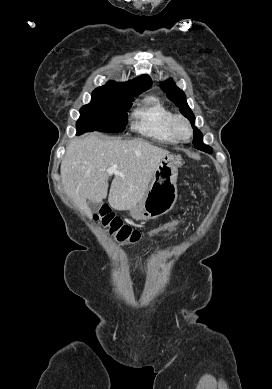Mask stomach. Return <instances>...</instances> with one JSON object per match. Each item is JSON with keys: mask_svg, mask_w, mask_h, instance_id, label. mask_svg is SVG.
<instances>
[{"mask_svg": "<svg viewBox=\"0 0 272 389\" xmlns=\"http://www.w3.org/2000/svg\"><path fill=\"white\" fill-rule=\"evenodd\" d=\"M183 164L179 155H167L156 167L149 188L130 215L136 220L155 219L169 212L177 200L178 168Z\"/></svg>", "mask_w": 272, "mask_h": 389, "instance_id": "0dacf381", "label": "stomach"}]
</instances>
